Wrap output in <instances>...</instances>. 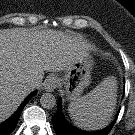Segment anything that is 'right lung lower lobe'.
Masks as SVG:
<instances>
[{
    "label": "right lung lower lobe",
    "instance_id": "98d812e1",
    "mask_svg": "<svg viewBox=\"0 0 135 135\" xmlns=\"http://www.w3.org/2000/svg\"><path fill=\"white\" fill-rule=\"evenodd\" d=\"M36 94V91L31 93L25 101L22 103V105L19 107L18 111L11 117L9 120L5 121L4 123L0 124V135H10L11 132L14 130V128L17 125L18 119L20 117V114L22 112V109L27 104V102Z\"/></svg>",
    "mask_w": 135,
    "mask_h": 135
}]
</instances>
